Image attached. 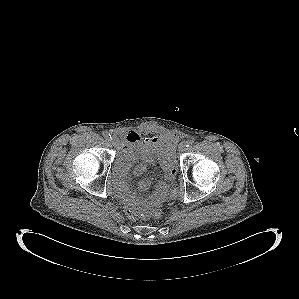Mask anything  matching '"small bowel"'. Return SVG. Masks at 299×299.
<instances>
[{
	"label": "small bowel",
	"instance_id": "small-bowel-1",
	"mask_svg": "<svg viewBox=\"0 0 299 299\" xmlns=\"http://www.w3.org/2000/svg\"><path fill=\"white\" fill-rule=\"evenodd\" d=\"M123 137L125 144L119 158V188L122 196L128 200L134 198V193L129 189L126 182L127 173L133 163L140 159L133 172L136 175H142L147 170L148 165L153 163L154 158L157 157L160 167L165 172V178L157 184L151 200L155 203L163 201L168 193L169 184L177 171L176 159L172 152L177 138L173 135L145 136L135 131L125 133ZM149 185V180L144 179L138 187L144 191L149 188Z\"/></svg>",
	"mask_w": 299,
	"mask_h": 299
}]
</instances>
